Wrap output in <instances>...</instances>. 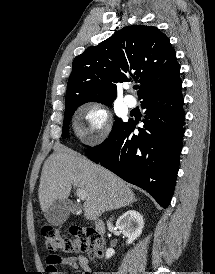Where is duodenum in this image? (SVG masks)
I'll list each match as a JSON object with an SVG mask.
<instances>
[{"instance_id":"410a0bca","label":"duodenum","mask_w":215,"mask_h":274,"mask_svg":"<svg viewBox=\"0 0 215 274\" xmlns=\"http://www.w3.org/2000/svg\"><path fill=\"white\" fill-rule=\"evenodd\" d=\"M93 226L94 229L100 234V235H104L105 233V226L103 224L102 221L95 219L93 220Z\"/></svg>"}]
</instances>
